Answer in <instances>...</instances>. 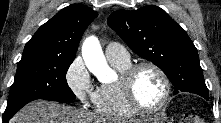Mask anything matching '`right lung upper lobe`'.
Returning a JSON list of instances; mask_svg holds the SVG:
<instances>
[{"instance_id":"obj_1","label":"right lung upper lobe","mask_w":221,"mask_h":123,"mask_svg":"<svg viewBox=\"0 0 221 123\" xmlns=\"http://www.w3.org/2000/svg\"><path fill=\"white\" fill-rule=\"evenodd\" d=\"M93 9L72 4L43 24L26 43L23 55L74 56L88 25L97 17Z\"/></svg>"}]
</instances>
